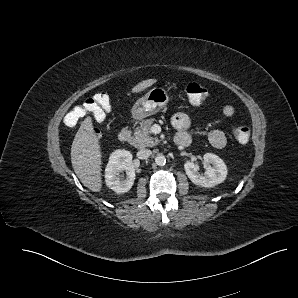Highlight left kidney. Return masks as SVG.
I'll return each mask as SVG.
<instances>
[{
    "mask_svg": "<svg viewBox=\"0 0 298 298\" xmlns=\"http://www.w3.org/2000/svg\"><path fill=\"white\" fill-rule=\"evenodd\" d=\"M203 159L207 166L204 174L198 172V166L193 162H185L184 169L191 182L208 188L224 182L228 174L224 161L213 153H205Z\"/></svg>",
    "mask_w": 298,
    "mask_h": 298,
    "instance_id": "left-kidney-1",
    "label": "left kidney"
}]
</instances>
